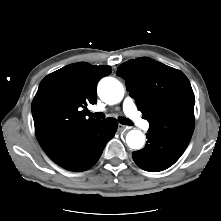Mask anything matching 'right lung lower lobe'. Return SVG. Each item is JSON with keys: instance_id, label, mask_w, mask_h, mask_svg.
Here are the masks:
<instances>
[{"instance_id": "right-lung-lower-lobe-1", "label": "right lung lower lobe", "mask_w": 221, "mask_h": 221, "mask_svg": "<svg viewBox=\"0 0 221 221\" xmlns=\"http://www.w3.org/2000/svg\"><path fill=\"white\" fill-rule=\"evenodd\" d=\"M117 126L118 122L114 118L98 120L73 133L47 155L64 169L85 171L98 161L106 143L114 136Z\"/></svg>"}]
</instances>
